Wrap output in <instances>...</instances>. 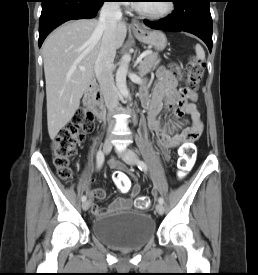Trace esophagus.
<instances>
[{"label":"esophagus","instance_id":"esophagus-1","mask_svg":"<svg viewBox=\"0 0 258 275\" xmlns=\"http://www.w3.org/2000/svg\"><path fill=\"white\" fill-rule=\"evenodd\" d=\"M130 27L132 28V30L134 31H140L142 30L143 26L141 25V23L137 20V19H133L130 23Z\"/></svg>","mask_w":258,"mask_h":275}]
</instances>
